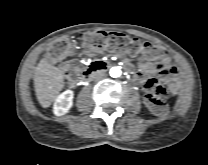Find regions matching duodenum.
Returning <instances> with one entry per match:
<instances>
[{"label":"duodenum","instance_id":"obj_1","mask_svg":"<svg viewBox=\"0 0 208 165\" xmlns=\"http://www.w3.org/2000/svg\"><path fill=\"white\" fill-rule=\"evenodd\" d=\"M102 69H104V65L103 64H92L83 74L82 76V80L86 81L88 80L91 76H93L94 74H96L97 72L101 71Z\"/></svg>","mask_w":208,"mask_h":165}]
</instances>
